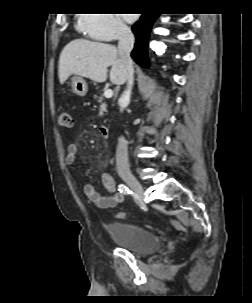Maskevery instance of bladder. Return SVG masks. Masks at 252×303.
<instances>
[{
    "label": "bladder",
    "instance_id": "1",
    "mask_svg": "<svg viewBox=\"0 0 252 303\" xmlns=\"http://www.w3.org/2000/svg\"><path fill=\"white\" fill-rule=\"evenodd\" d=\"M107 229L119 246L135 253L147 255L160 250L159 238L143 226L113 222L108 224Z\"/></svg>",
    "mask_w": 252,
    "mask_h": 303
}]
</instances>
